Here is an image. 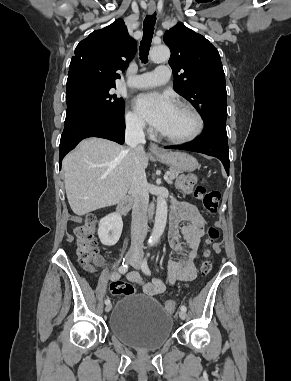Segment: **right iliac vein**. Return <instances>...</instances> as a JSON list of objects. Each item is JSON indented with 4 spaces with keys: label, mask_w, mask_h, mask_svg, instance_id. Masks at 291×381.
<instances>
[{
    "label": "right iliac vein",
    "mask_w": 291,
    "mask_h": 381,
    "mask_svg": "<svg viewBox=\"0 0 291 381\" xmlns=\"http://www.w3.org/2000/svg\"><path fill=\"white\" fill-rule=\"evenodd\" d=\"M137 259V256L135 254L129 253L125 256L124 262L125 264L133 263ZM112 308V304L109 303L105 307V311L109 312Z\"/></svg>",
    "instance_id": "63e3f726"
}]
</instances>
